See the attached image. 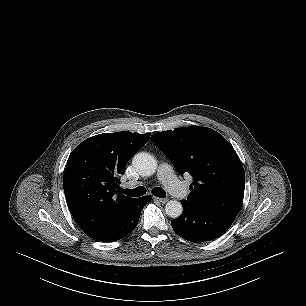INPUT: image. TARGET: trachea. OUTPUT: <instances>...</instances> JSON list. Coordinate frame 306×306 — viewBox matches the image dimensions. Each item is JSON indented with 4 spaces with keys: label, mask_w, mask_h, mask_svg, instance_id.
Returning a JSON list of instances; mask_svg holds the SVG:
<instances>
[{
    "label": "trachea",
    "mask_w": 306,
    "mask_h": 306,
    "mask_svg": "<svg viewBox=\"0 0 306 306\" xmlns=\"http://www.w3.org/2000/svg\"><path fill=\"white\" fill-rule=\"evenodd\" d=\"M121 193L131 197H139L146 193V188L143 186L136 187L134 189H120ZM152 194L159 198H165L166 193L162 188L155 187L152 189Z\"/></svg>",
    "instance_id": "trachea-1"
}]
</instances>
